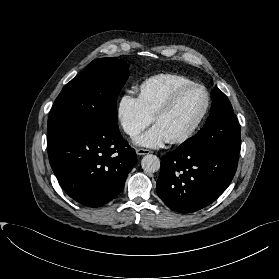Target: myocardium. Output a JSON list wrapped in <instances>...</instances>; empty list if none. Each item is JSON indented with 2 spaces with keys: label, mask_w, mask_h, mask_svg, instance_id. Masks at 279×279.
Wrapping results in <instances>:
<instances>
[{
  "label": "myocardium",
  "mask_w": 279,
  "mask_h": 279,
  "mask_svg": "<svg viewBox=\"0 0 279 279\" xmlns=\"http://www.w3.org/2000/svg\"><path fill=\"white\" fill-rule=\"evenodd\" d=\"M199 88L203 90L205 93V104L204 107L195 120V122L192 124V126L181 136L176 137V138H171L169 139V142L171 144H182L188 141L190 138H192L195 133L198 131L200 126L202 125L204 119L206 118V115L209 111L210 108V103H211V98H210V93L207 90V88L198 83H190L184 86H181L177 90L173 92V94L168 98V100L164 103V105L156 112V114L153 116V121L157 123V121L162 118L163 116L167 115L177 104L179 101L180 97L187 91L191 89Z\"/></svg>",
  "instance_id": "myocardium-1"
}]
</instances>
